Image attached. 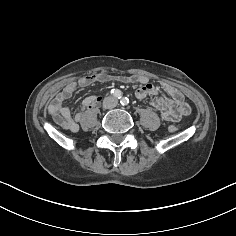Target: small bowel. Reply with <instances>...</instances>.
Returning <instances> with one entry per match:
<instances>
[{
    "mask_svg": "<svg viewBox=\"0 0 236 236\" xmlns=\"http://www.w3.org/2000/svg\"><path fill=\"white\" fill-rule=\"evenodd\" d=\"M111 80H118L125 83H138L140 86L135 90V97L137 100L142 101L149 95H156L157 89L144 75H131V76H113L106 73H99L87 75L77 81L68 83L53 99L48 108V113L51 120L64 130L76 131L78 122L82 117V112L86 109L97 106L102 97L98 95H91L84 99L81 105L80 112L75 116L71 111L63 106V103L72 97L74 92L83 87H87L95 82H107ZM163 90L167 93V97H156L153 100V106L157 109L161 117L166 121L175 122L182 116H186L191 111L190 104L185 101L181 92L169 84H162Z\"/></svg>",
    "mask_w": 236,
    "mask_h": 236,
    "instance_id": "obj_1",
    "label": "small bowel"
}]
</instances>
